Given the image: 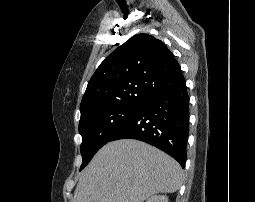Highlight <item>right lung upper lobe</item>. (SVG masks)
<instances>
[{
	"mask_svg": "<svg viewBox=\"0 0 255 202\" xmlns=\"http://www.w3.org/2000/svg\"><path fill=\"white\" fill-rule=\"evenodd\" d=\"M185 84L180 65L160 40L138 34L97 68L81 101V117L121 105H142L157 94Z\"/></svg>",
	"mask_w": 255,
	"mask_h": 202,
	"instance_id": "1",
	"label": "right lung upper lobe"
}]
</instances>
